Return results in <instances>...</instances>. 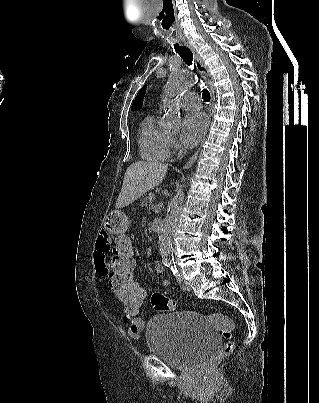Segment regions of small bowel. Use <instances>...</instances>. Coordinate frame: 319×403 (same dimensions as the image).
<instances>
[{
	"label": "small bowel",
	"instance_id": "1",
	"mask_svg": "<svg viewBox=\"0 0 319 403\" xmlns=\"http://www.w3.org/2000/svg\"><path fill=\"white\" fill-rule=\"evenodd\" d=\"M110 252V237L106 231L100 232L94 252V264L100 277H104V287H113V269L111 264L108 263V254ZM117 252L119 250L117 249ZM155 271L157 273L163 272V266L156 264ZM161 288L167 289L170 286L168 280L161 282ZM113 293V291H111ZM146 298V291H143ZM121 310L123 312L122 304ZM125 319L128 323V334L134 338L139 339L144 328V322L140 318V313H124Z\"/></svg>",
	"mask_w": 319,
	"mask_h": 403
}]
</instances>
